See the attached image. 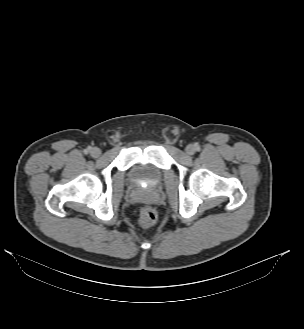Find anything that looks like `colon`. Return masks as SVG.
<instances>
[{"label": "colon", "instance_id": "colon-1", "mask_svg": "<svg viewBox=\"0 0 304 329\" xmlns=\"http://www.w3.org/2000/svg\"><path fill=\"white\" fill-rule=\"evenodd\" d=\"M157 216L151 207H143L140 211L138 224L140 227L148 228L156 222Z\"/></svg>", "mask_w": 304, "mask_h": 329}]
</instances>
